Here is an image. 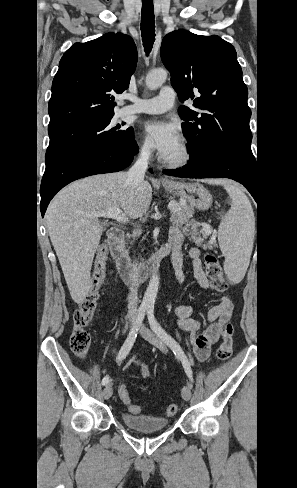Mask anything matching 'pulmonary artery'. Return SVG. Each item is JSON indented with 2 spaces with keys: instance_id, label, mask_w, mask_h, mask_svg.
Here are the masks:
<instances>
[{
  "instance_id": "pulmonary-artery-1",
  "label": "pulmonary artery",
  "mask_w": 297,
  "mask_h": 488,
  "mask_svg": "<svg viewBox=\"0 0 297 488\" xmlns=\"http://www.w3.org/2000/svg\"><path fill=\"white\" fill-rule=\"evenodd\" d=\"M134 103L122 110L123 114H159L169 110L175 101V91L171 87L162 88L160 94L150 99H137L128 96Z\"/></svg>"
}]
</instances>
